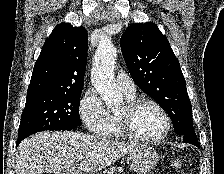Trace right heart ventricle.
<instances>
[{
  "label": "right heart ventricle",
  "mask_w": 224,
  "mask_h": 174,
  "mask_svg": "<svg viewBox=\"0 0 224 174\" xmlns=\"http://www.w3.org/2000/svg\"><path fill=\"white\" fill-rule=\"evenodd\" d=\"M128 99H132L134 97L127 96ZM106 138H116L121 139L123 138V134L120 131V128L117 123L116 114L111 115V125L107 133L104 135Z\"/></svg>",
  "instance_id": "obj_1"
}]
</instances>
